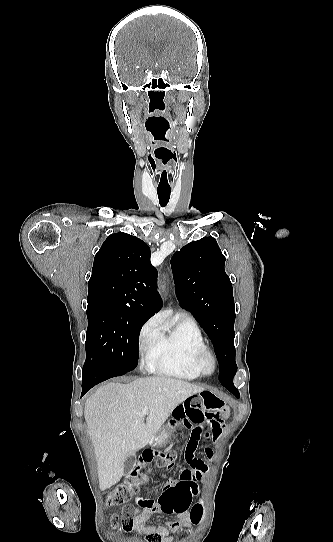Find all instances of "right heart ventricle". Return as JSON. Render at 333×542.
Listing matches in <instances>:
<instances>
[{"instance_id": "right-heart-ventricle-1", "label": "right heart ventricle", "mask_w": 333, "mask_h": 542, "mask_svg": "<svg viewBox=\"0 0 333 542\" xmlns=\"http://www.w3.org/2000/svg\"><path fill=\"white\" fill-rule=\"evenodd\" d=\"M158 328L159 337L142 348V365L147 370L174 378L193 380L200 377L194 357L206 345L197 323L185 317L166 328L160 320Z\"/></svg>"}]
</instances>
